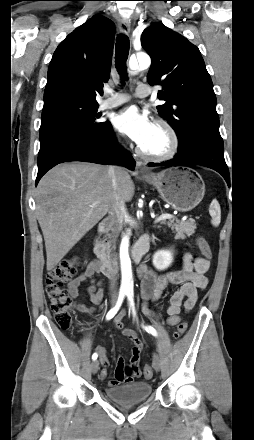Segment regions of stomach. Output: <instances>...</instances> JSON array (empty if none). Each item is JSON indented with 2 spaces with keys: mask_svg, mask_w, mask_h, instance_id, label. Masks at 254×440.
<instances>
[{
  "mask_svg": "<svg viewBox=\"0 0 254 440\" xmlns=\"http://www.w3.org/2000/svg\"><path fill=\"white\" fill-rule=\"evenodd\" d=\"M142 179L155 186L162 199L175 210L194 209L203 199L205 183L200 174L191 168H169Z\"/></svg>",
  "mask_w": 254,
  "mask_h": 440,
  "instance_id": "obj_1",
  "label": "stomach"
}]
</instances>
